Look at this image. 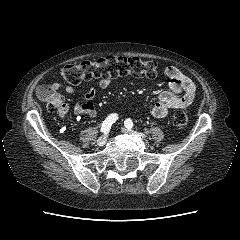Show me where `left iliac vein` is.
I'll return each mask as SVG.
<instances>
[{
	"label": "left iliac vein",
	"instance_id": "obj_1",
	"mask_svg": "<svg viewBox=\"0 0 240 240\" xmlns=\"http://www.w3.org/2000/svg\"><path fill=\"white\" fill-rule=\"evenodd\" d=\"M121 130H122L123 133H128V134H134V133H136L135 131H133V130H131V129L124 128V127H122ZM139 135H140V137H142L143 139L145 138V136H144L143 134H139Z\"/></svg>",
	"mask_w": 240,
	"mask_h": 240
}]
</instances>
